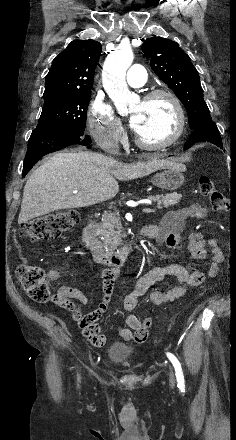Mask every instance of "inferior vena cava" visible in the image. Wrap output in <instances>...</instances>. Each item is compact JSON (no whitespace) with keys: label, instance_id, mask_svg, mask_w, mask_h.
Returning a JSON list of instances; mask_svg holds the SVG:
<instances>
[{"label":"inferior vena cava","instance_id":"inferior-vena-cava-1","mask_svg":"<svg viewBox=\"0 0 236 440\" xmlns=\"http://www.w3.org/2000/svg\"><path fill=\"white\" fill-rule=\"evenodd\" d=\"M118 151H119L118 145H114L113 149L111 150V153L112 154H118Z\"/></svg>","mask_w":236,"mask_h":440}]
</instances>
